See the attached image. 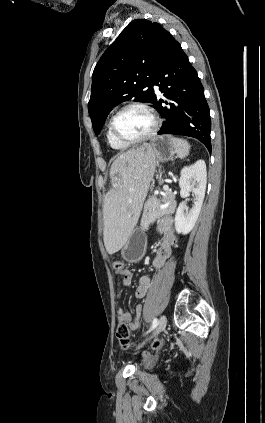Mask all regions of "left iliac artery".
Returning a JSON list of instances; mask_svg holds the SVG:
<instances>
[{
	"mask_svg": "<svg viewBox=\"0 0 265 423\" xmlns=\"http://www.w3.org/2000/svg\"><path fill=\"white\" fill-rule=\"evenodd\" d=\"M157 325H158V320L155 318L152 322V326H151L150 330L147 331V333L150 332L151 330H153Z\"/></svg>",
	"mask_w": 265,
	"mask_h": 423,
	"instance_id": "44dca946",
	"label": "left iliac artery"
}]
</instances>
